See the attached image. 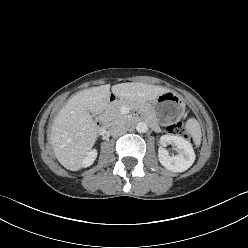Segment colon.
Listing matches in <instances>:
<instances>
[{
  "mask_svg": "<svg viewBox=\"0 0 248 248\" xmlns=\"http://www.w3.org/2000/svg\"><path fill=\"white\" fill-rule=\"evenodd\" d=\"M167 130L174 135H182L187 137L184 124L181 121L175 122L167 127Z\"/></svg>",
  "mask_w": 248,
  "mask_h": 248,
  "instance_id": "5ec220e1",
  "label": "colon"
}]
</instances>
